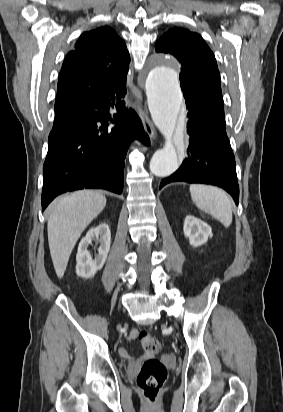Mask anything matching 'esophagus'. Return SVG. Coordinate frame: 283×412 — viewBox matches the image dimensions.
<instances>
[{
  "label": "esophagus",
  "instance_id": "1",
  "mask_svg": "<svg viewBox=\"0 0 283 412\" xmlns=\"http://www.w3.org/2000/svg\"><path fill=\"white\" fill-rule=\"evenodd\" d=\"M138 115L142 121L143 127L147 135L151 140L155 139L157 136L156 128L154 127L153 123L149 119L146 112L142 109L141 106H138Z\"/></svg>",
  "mask_w": 283,
  "mask_h": 412
}]
</instances>
